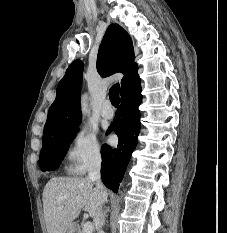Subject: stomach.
Listing matches in <instances>:
<instances>
[{"label": "stomach", "instance_id": "stomach-1", "mask_svg": "<svg viewBox=\"0 0 227 233\" xmlns=\"http://www.w3.org/2000/svg\"><path fill=\"white\" fill-rule=\"evenodd\" d=\"M66 233H78V227L75 223H72Z\"/></svg>", "mask_w": 227, "mask_h": 233}]
</instances>
